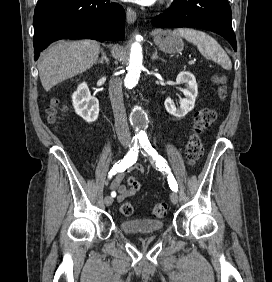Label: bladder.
I'll use <instances>...</instances> for the list:
<instances>
[{
  "instance_id": "bladder-1",
  "label": "bladder",
  "mask_w": 272,
  "mask_h": 282,
  "mask_svg": "<svg viewBox=\"0 0 272 282\" xmlns=\"http://www.w3.org/2000/svg\"><path fill=\"white\" fill-rule=\"evenodd\" d=\"M164 223L153 219H131L120 223V228L130 234H149L162 230Z\"/></svg>"
}]
</instances>
